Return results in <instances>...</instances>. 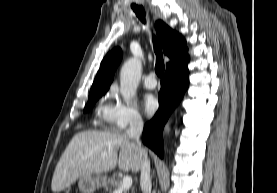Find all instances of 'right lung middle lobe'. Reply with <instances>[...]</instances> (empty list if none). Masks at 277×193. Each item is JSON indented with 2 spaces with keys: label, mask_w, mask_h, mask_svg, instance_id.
Masks as SVG:
<instances>
[{
  "label": "right lung middle lobe",
  "mask_w": 277,
  "mask_h": 193,
  "mask_svg": "<svg viewBox=\"0 0 277 193\" xmlns=\"http://www.w3.org/2000/svg\"><path fill=\"white\" fill-rule=\"evenodd\" d=\"M105 92H96L89 95L87 105L85 106L84 112L90 110L95 102L104 94Z\"/></svg>",
  "instance_id": "obj_1"
}]
</instances>
